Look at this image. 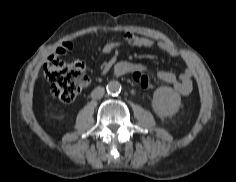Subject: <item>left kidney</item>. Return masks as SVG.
<instances>
[{
  "label": "left kidney",
  "instance_id": "obj_1",
  "mask_svg": "<svg viewBox=\"0 0 236 182\" xmlns=\"http://www.w3.org/2000/svg\"><path fill=\"white\" fill-rule=\"evenodd\" d=\"M181 97L174 89L167 86L159 87L153 94L152 107L161 118L171 117L179 111Z\"/></svg>",
  "mask_w": 236,
  "mask_h": 182
}]
</instances>
